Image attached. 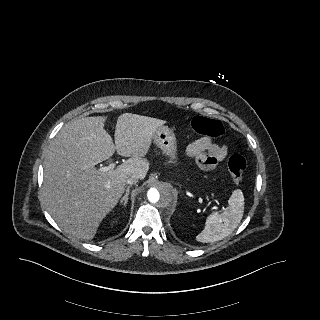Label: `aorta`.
I'll use <instances>...</instances> for the list:
<instances>
[{
  "instance_id": "obj_1",
  "label": "aorta",
  "mask_w": 320,
  "mask_h": 320,
  "mask_svg": "<svg viewBox=\"0 0 320 320\" xmlns=\"http://www.w3.org/2000/svg\"><path fill=\"white\" fill-rule=\"evenodd\" d=\"M146 201L150 208L158 213H162L165 206L173 202V192L168 184L155 183L146 193Z\"/></svg>"
}]
</instances>
